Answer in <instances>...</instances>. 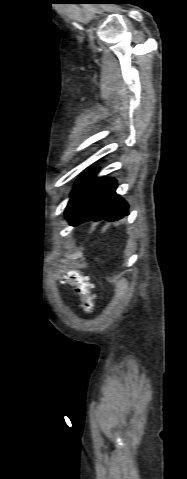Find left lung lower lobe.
<instances>
[{"instance_id": "obj_1", "label": "left lung lower lobe", "mask_w": 187, "mask_h": 479, "mask_svg": "<svg viewBox=\"0 0 187 479\" xmlns=\"http://www.w3.org/2000/svg\"><path fill=\"white\" fill-rule=\"evenodd\" d=\"M97 171L91 169L84 172L75 183L65 210L71 225L102 219L112 222L129 214L127 202L115 192V179L93 177Z\"/></svg>"}]
</instances>
